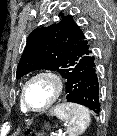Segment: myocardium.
<instances>
[{"instance_id":"obj_1","label":"myocardium","mask_w":117,"mask_h":136,"mask_svg":"<svg viewBox=\"0 0 117 136\" xmlns=\"http://www.w3.org/2000/svg\"><path fill=\"white\" fill-rule=\"evenodd\" d=\"M40 78H45V79L49 80L52 83L54 92H53V95H52L50 101L44 107H42L41 109H32L31 107H29V105L27 103V99H26L27 88L33 81L40 79ZM62 92H63V81L57 73H55L53 71H49V70L39 71V72L33 74L24 83L22 90H21V104L26 112L43 113V112L47 111L59 99Z\"/></svg>"}]
</instances>
